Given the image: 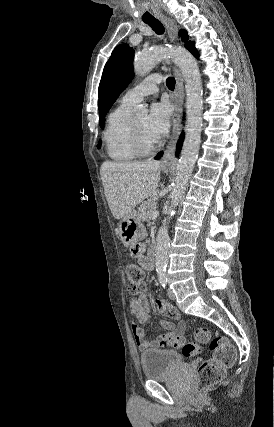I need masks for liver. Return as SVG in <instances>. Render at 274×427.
Here are the masks:
<instances>
[{"mask_svg":"<svg viewBox=\"0 0 274 427\" xmlns=\"http://www.w3.org/2000/svg\"><path fill=\"white\" fill-rule=\"evenodd\" d=\"M100 176L108 206L114 217L121 219L156 192L160 164L155 160L103 162Z\"/></svg>","mask_w":274,"mask_h":427,"instance_id":"liver-1","label":"liver"}]
</instances>
